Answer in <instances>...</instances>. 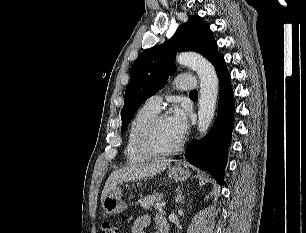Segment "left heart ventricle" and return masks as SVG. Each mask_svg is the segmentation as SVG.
Masks as SVG:
<instances>
[{
  "instance_id": "left-heart-ventricle-1",
  "label": "left heart ventricle",
  "mask_w": 306,
  "mask_h": 233,
  "mask_svg": "<svg viewBox=\"0 0 306 233\" xmlns=\"http://www.w3.org/2000/svg\"><path fill=\"white\" fill-rule=\"evenodd\" d=\"M154 142L162 150L174 148L179 140L174 135L167 117L163 118L157 125L154 133Z\"/></svg>"
}]
</instances>
